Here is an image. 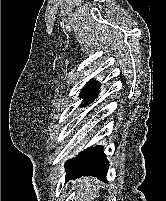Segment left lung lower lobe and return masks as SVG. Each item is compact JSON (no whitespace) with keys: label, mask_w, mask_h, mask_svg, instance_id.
Masks as SVG:
<instances>
[{"label":"left lung lower lobe","mask_w":166,"mask_h":201,"mask_svg":"<svg viewBox=\"0 0 166 201\" xmlns=\"http://www.w3.org/2000/svg\"><path fill=\"white\" fill-rule=\"evenodd\" d=\"M66 181L81 176H94L106 180L109 163L102 146L90 147L65 163Z\"/></svg>","instance_id":"0a47b994"}]
</instances>
